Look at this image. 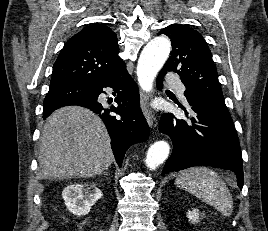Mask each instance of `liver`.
Segmentation results:
<instances>
[{
	"label": "liver",
	"mask_w": 268,
	"mask_h": 231,
	"mask_svg": "<svg viewBox=\"0 0 268 231\" xmlns=\"http://www.w3.org/2000/svg\"><path fill=\"white\" fill-rule=\"evenodd\" d=\"M102 120L80 106L54 111L40 139V179L89 178L103 173L114 160Z\"/></svg>",
	"instance_id": "liver-1"
}]
</instances>
